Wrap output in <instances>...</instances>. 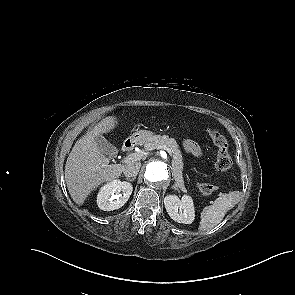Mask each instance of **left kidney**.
<instances>
[{
    "instance_id": "obj_1",
    "label": "left kidney",
    "mask_w": 295,
    "mask_h": 295,
    "mask_svg": "<svg viewBox=\"0 0 295 295\" xmlns=\"http://www.w3.org/2000/svg\"><path fill=\"white\" fill-rule=\"evenodd\" d=\"M166 211L171 219L178 223L191 224L195 218L193 200L184 195L181 200L176 195H168L164 198Z\"/></svg>"
}]
</instances>
